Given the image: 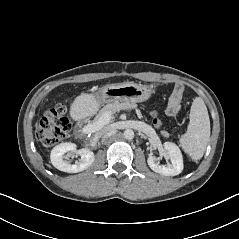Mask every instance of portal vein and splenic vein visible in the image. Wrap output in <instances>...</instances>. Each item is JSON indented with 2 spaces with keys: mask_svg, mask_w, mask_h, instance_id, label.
I'll return each instance as SVG.
<instances>
[{
  "mask_svg": "<svg viewBox=\"0 0 239 239\" xmlns=\"http://www.w3.org/2000/svg\"><path fill=\"white\" fill-rule=\"evenodd\" d=\"M111 120V113L105 112L96 121L85 126V130L88 132H96L107 125Z\"/></svg>",
  "mask_w": 239,
  "mask_h": 239,
  "instance_id": "18ae733b",
  "label": "portal vein and splenic vein"
}]
</instances>
